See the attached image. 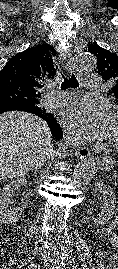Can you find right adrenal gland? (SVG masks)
Segmentation results:
<instances>
[{
  "label": "right adrenal gland",
  "mask_w": 118,
  "mask_h": 269,
  "mask_svg": "<svg viewBox=\"0 0 118 269\" xmlns=\"http://www.w3.org/2000/svg\"><path fill=\"white\" fill-rule=\"evenodd\" d=\"M40 169H41V165H38L34 169H32L31 171L34 172L35 174H37V172H39Z\"/></svg>",
  "instance_id": "right-adrenal-gland-1"
}]
</instances>
